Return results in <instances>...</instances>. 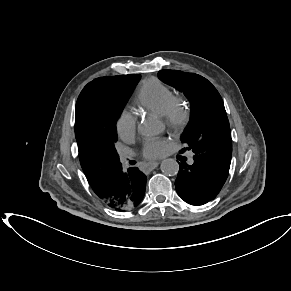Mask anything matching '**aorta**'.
<instances>
[{"label": "aorta", "mask_w": 291, "mask_h": 291, "mask_svg": "<svg viewBox=\"0 0 291 291\" xmlns=\"http://www.w3.org/2000/svg\"><path fill=\"white\" fill-rule=\"evenodd\" d=\"M138 132L143 136H153L156 128L151 122L145 120L138 124ZM160 168L165 175L174 176L179 171V164L175 159L169 158L162 161Z\"/></svg>", "instance_id": "1"}]
</instances>
